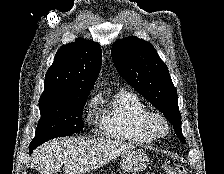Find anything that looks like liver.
Returning <instances> with one entry per match:
<instances>
[{"instance_id":"1","label":"liver","mask_w":224,"mask_h":174,"mask_svg":"<svg viewBox=\"0 0 224 174\" xmlns=\"http://www.w3.org/2000/svg\"><path fill=\"white\" fill-rule=\"evenodd\" d=\"M134 148V145L116 140L64 137L35 149L31 167L41 174H54L64 165L66 174H86Z\"/></svg>"}]
</instances>
